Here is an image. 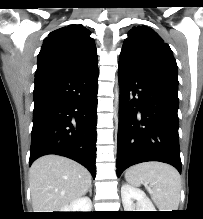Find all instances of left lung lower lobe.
<instances>
[{
  "label": "left lung lower lobe",
  "instance_id": "obj_1",
  "mask_svg": "<svg viewBox=\"0 0 203 219\" xmlns=\"http://www.w3.org/2000/svg\"><path fill=\"white\" fill-rule=\"evenodd\" d=\"M121 86L117 176L137 163L160 161L181 173L178 84L119 63Z\"/></svg>",
  "mask_w": 203,
  "mask_h": 219
}]
</instances>
